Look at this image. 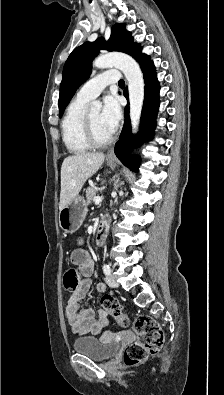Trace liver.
<instances>
[{"label": "liver", "mask_w": 224, "mask_h": 395, "mask_svg": "<svg viewBox=\"0 0 224 395\" xmlns=\"http://www.w3.org/2000/svg\"><path fill=\"white\" fill-rule=\"evenodd\" d=\"M105 155L98 152H81L66 157L61 166V192L59 210L75 199L88 178L104 162Z\"/></svg>", "instance_id": "1"}]
</instances>
